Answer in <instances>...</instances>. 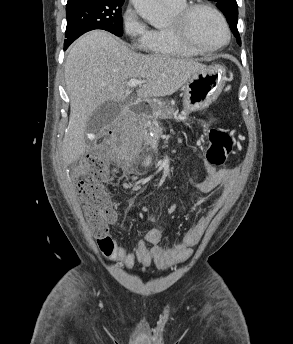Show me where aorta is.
<instances>
[{
  "label": "aorta",
  "mask_w": 293,
  "mask_h": 344,
  "mask_svg": "<svg viewBox=\"0 0 293 344\" xmlns=\"http://www.w3.org/2000/svg\"><path fill=\"white\" fill-rule=\"evenodd\" d=\"M136 12L154 27H160L165 21V13L159 0H132Z\"/></svg>",
  "instance_id": "762f6f07"
}]
</instances>
